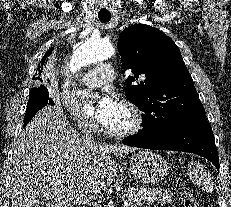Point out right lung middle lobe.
Masks as SVG:
<instances>
[{"instance_id":"1","label":"right lung middle lobe","mask_w":231,"mask_h":207,"mask_svg":"<svg viewBox=\"0 0 231 207\" xmlns=\"http://www.w3.org/2000/svg\"><path fill=\"white\" fill-rule=\"evenodd\" d=\"M46 88L44 86H40V87H37V88H32L30 90V94H29V101L28 103H30L31 101H33V99L35 98V96L37 95V93L39 91H42V90H45Z\"/></svg>"}]
</instances>
